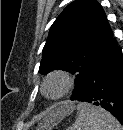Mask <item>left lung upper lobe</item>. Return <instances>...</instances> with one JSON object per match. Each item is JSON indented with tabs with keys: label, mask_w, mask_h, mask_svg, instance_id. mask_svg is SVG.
I'll return each instance as SVG.
<instances>
[{
	"label": "left lung upper lobe",
	"mask_w": 123,
	"mask_h": 130,
	"mask_svg": "<svg viewBox=\"0 0 123 130\" xmlns=\"http://www.w3.org/2000/svg\"><path fill=\"white\" fill-rule=\"evenodd\" d=\"M114 43L102 6L96 0H75L56 18L43 48L39 70L76 74L75 100L95 61Z\"/></svg>",
	"instance_id": "1"
}]
</instances>
